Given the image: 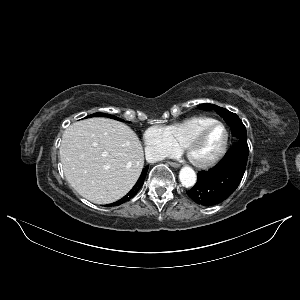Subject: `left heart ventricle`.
Wrapping results in <instances>:
<instances>
[{"label":"left heart ventricle","instance_id":"b2bd125f","mask_svg":"<svg viewBox=\"0 0 300 300\" xmlns=\"http://www.w3.org/2000/svg\"><path fill=\"white\" fill-rule=\"evenodd\" d=\"M224 140V129L220 126L213 127L204 139L192 152L196 161H207L213 158L220 150Z\"/></svg>","mask_w":300,"mask_h":300}]
</instances>
